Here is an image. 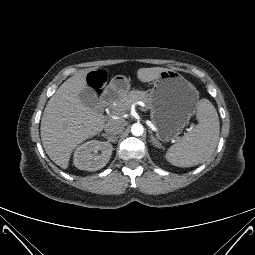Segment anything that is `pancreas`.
Returning a JSON list of instances; mask_svg holds the SVG:
<instances>
[{
    "mask_svg": "<svg viewBox=\"0 0 255 255\" xmlns=\"http://www.w3.org/2000/svg\"><path fill=\"white\" fill-rule=\"evenodd\" d=\"M136 101H143L148 104L149 98L147 92L132 90L119 98L111 107L117 115H122L129 110L132 103Z\"/></svg>",
    "mask_w": 255,
    "mask_h": 255,
    "instance_id": "1",
    "label": "pancreas"
}]
</instances>
